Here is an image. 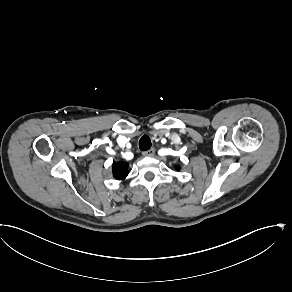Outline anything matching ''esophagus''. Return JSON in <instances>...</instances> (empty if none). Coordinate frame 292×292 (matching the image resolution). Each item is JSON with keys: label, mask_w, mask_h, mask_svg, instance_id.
Listing matches in <instances>:
<instances>
[{"label": "esophagus", "mask_w": 292, "mask_h": 292, "mask_svg": "<svg viewBox=\"0 0 292 292\" xmlns=\"http://www.w3.org/2000/svg\"><path fill=\"white\" fill-rule=\"evenodd\" d=\"M155 154V149L154 148H151L147 151H144L142 152V155L145 156V157H153Z\"/></svg>", "instance_id": "1"}]
</instances>
